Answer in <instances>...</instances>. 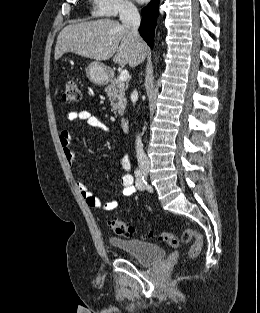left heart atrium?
<instances>
[{"label": "left heart atrium", "mask_w": 260, "mask_h": 313, "mask_svg": "<svg viewBox=\"0 0 260 313\" xmlns=\"http://www.w3.org/2000/svg\"><path fill=\"white\" fill-rule=\"evenodd\" d=\"M137 1L143 3V2H145V1H147V0H137Z\"/></svg>", "instance_id": "left-heart-atrium-1"}]
</instances>
